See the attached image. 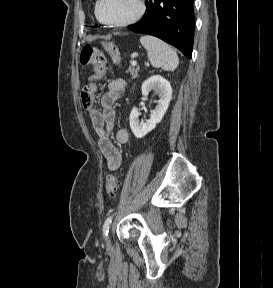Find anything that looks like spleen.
<instances>
[{
    "instance_id": "3e777b00",
    "label": "spleen",
    "mask_w": 273,
    "mask_h": 288,
    "mask_svg": "<svg viewBox=\"0 0 273 288\" xmlns=\"http://www.w3.org/2000/svg\"><path fill=\"white\" fill-rule=\"evenodd\" d=\"M140 42L146 49L148 58L153 67L165 71H173L179 65L177 53L164 41L150 36H142Z\"/></svg>"
}]
</instances>
